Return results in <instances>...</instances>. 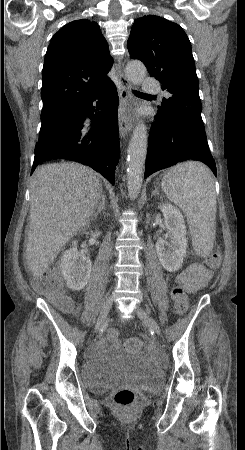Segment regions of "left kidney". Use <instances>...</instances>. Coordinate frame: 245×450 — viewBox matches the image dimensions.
Returning <instances> with one entry per match:
<instances>
[{"mask_svg":"<svg viewBox=\"0 0 245 450\" xmlns=\"http://www.w3.org/2000/svg\"><path fill=\"white\" fill-rule=\"evenodd\" d=\"M158 208L163 213L168 233L165 238L156 242L157 256L164 269L175 272L182 266L188 247L184 218L182 213L171 204H160Z\"/></svg>","mask_w":245,"mask_h":450,"instance_id":"1","label":"left kidney"}]
</instances>
